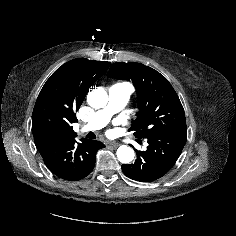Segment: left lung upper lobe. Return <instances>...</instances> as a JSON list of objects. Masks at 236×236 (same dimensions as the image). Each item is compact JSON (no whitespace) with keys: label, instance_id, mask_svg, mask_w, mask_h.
Here are the masks:
<instances>
[{"label":"left lung upper lobe","instance_id":"5c2ea615","mask_svg":"<svg viewBox=\"0 0 236 236\" xmlns=\"http://www.w3.org/2000/svg\"><path fill=\"white\" fill-rule=\"evenodd\" d=\"M108 77L131 80L139 112L129 131L136 138L173 132L186 127L183 106L169 81L151 67L135 62L114 63Z\"/></svg>","mask_w":236,"mask_h":236}]
</instances>
